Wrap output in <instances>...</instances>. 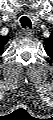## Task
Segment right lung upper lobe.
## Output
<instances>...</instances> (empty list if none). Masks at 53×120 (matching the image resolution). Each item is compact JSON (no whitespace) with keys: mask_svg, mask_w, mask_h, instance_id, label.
<instances>
[{"mask_svg":"<svg viewBox=\"0 0 53 120\" xmlns=\"http://www.w3.org/2000/svg\"><path fill=\"white\" fill-rule=\"evenodd\" d=\"M8 40H9L8 37L0 36V53L3 52V47L7 43Z\"/></svg>","mask_w":53,"mask_h":120,"instance_id":"obj_1","label":"right lung upper lobe"}]
</instances>
